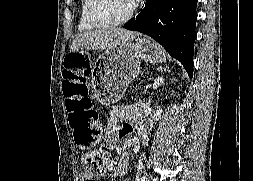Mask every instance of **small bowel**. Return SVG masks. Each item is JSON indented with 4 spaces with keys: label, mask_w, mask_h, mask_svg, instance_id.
I'll use <instances>...</instances> for the list:
<instances>
[{
    "label": "small bowel",
    "mask_w": 253,
    "mask_h": 181,
    "mask_svg": "<svg viewBox=\"0 0 253 181\" xmlns=\"http://www.w3.org/2000/svg\"><path fill=\"white\" fill-rule=\"evenodd\" d=\"M80 63H79V70L87 76V73L90 68L89 58L87 55H80ZM133 115V109L127 106L116 107L110 113L108 119V126H107V141L109 146H114L116 142L129 134L133 133V128L128 124H118L119 119H128ZM115 168L114 162H109L105 168V172H110ZM124 173V167L120 164L117 168L116 174ZM124 181H130V176L128 173L122 178ZM81 181H91L93 180V176L89 173L83 172L80 175Z\"/></svg>",
    "instance_id": "obj_1"
}]
</instances>
